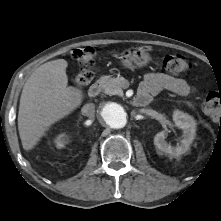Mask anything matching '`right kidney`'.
Listing matches in <instances>:
<instances>
[{
  "mask_svg": "<svg viewBox=\"0 0 221 221\" xmlns=\"http://www.w3.org/2000/svg\"><path fill=\"white\" fill-rule=\"evenodd\" d=\"M67 141V136L65 134H60L55 138L54 143L57 148H63Z\"/></svg>",
  "mask_w": 221,
  "mask_h": 221,
  "instance_id": "right-kidney-1",
  "label": "right kidney"
}]
</instances>
